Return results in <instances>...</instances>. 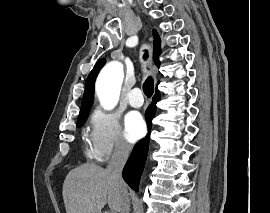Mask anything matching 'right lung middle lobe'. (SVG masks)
Listing matches in <instances>:
<instances>
[{
  "label": "right lung middle lobe",
  "instance_id": "obj_1",
  "mask_svg": "<svg viewBox=\"0 0 270 213\" xmlns=\"http://www.w3.org/2000/svg\"><path fill=\"white\" fill-rule=\"evenodd\" d=\"M87 116H88V113H85V114H79L78 120H77V126L83 125V123L85 122Z\"/></svg>",
  "mask_w": 270,
  "mask_h": 213
}]
</instances>
